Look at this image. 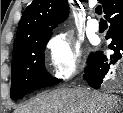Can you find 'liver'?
<instances>
[{"mask_svg":"<svg viewBox=\"0 0 123 113\" xmlns=\"http://www.w3.org/2000/svg\"><path fill=\"white\" fill-rule=\"evenodd\" d=\"M121 105V99L109 93L61 88L38 95L15 113H117Z\"/></svg>","mask_w":123,"mask_h":113,"instance_id":"1","label":"liver"}]
</instances>
